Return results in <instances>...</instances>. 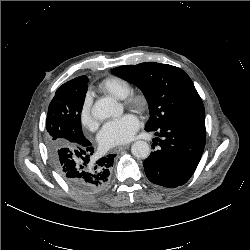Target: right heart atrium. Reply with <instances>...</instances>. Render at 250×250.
<instances>
[{
	"instance_id": "obj_1",
	"label": "right heart atrium",
	"mask_w": 250,
	"mask_h": 250,
	"mask_svg": "<svg viewBox=\"0 0 250 250\" xmlns=\"http://www.w3.org/2000/svg\"><path fill=\"white\" fill-rule=\"evenodd\" d=\"M80 120H81V124L89 130H94L97 127V121L94 119L92 112H91L90 97H86L84 99L81 112H80Z\"/></svg>"
}]
</instances>
